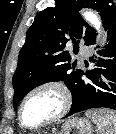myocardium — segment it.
I'll use <instances>...</instances> for the list:
<instances>
[{
  "mask_svg": "<svg viewBox=\"0 0 116 134\" xmlns=\"http://www.w3.org/2000/svg\"><path fill=\"white\" fill-rule=\"evenodd\" d=\"M46 89H52L55 90L61 97V107L59 111L50 117L49 119L36 124V125H29L27 124L24 119H23V108L26 103V101L36 92L41 91V90H46ZM71 94L69 89L65 84H63L60 81L56 80H50V81H45L42 83H39L32 87L22 98L19 108H18V119L22 127L27 128V129H40L47 127L49 125H52L58 121H60L69 111L71 107Z\"/></svg>",
  "mask_w": 116,
  "mask_h": 134,
  "instance_id": "1",
  "label": "myocardium"
}]
</instances>
